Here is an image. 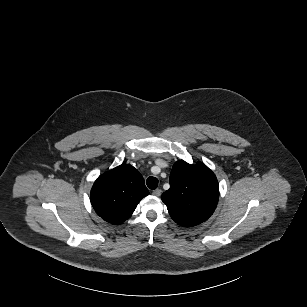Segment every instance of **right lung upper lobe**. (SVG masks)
<instances>
[{
  "label": "right lung upper lobe",
  "mask_w": 307,
  "mask_h": 307,
  "mask_svg": "<svg viewBox=\"0 0 307 307\" xmlns=\"http://www.w3.org/2000/svg\"><path fill=\"white\" fill-rule=\"evenodd\" d=\"M148 194L139 171L130 164H123L102 174L95 181L90 199L100 217L107 222L121 224Z\"/></svg>",
  "instance_id": "obj_1"
}]
</instances>
